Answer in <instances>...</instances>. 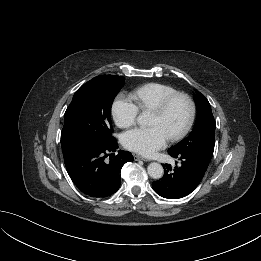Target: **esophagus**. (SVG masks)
Returning a JSON list of instances; mask_svg holds the SVG:
<instances>
[{
  "label": "esophagus",
  "mask_w": 261,
  "mask_h": 261,
  "mask_svg": "<svg viewBox=\"0 0 261 261\" xmlns=\"http://www.w3.org/2000/svg\"><path fill=\"white\" fill-rule=\"evenodd\" d=\"M134 159L136 160V161H138V160H143V161H149L147 158H144V157H142V156H139V155H137V154H134Z\"/></svg>",
  "instance_id": "34e87169"
}]
</instances>
